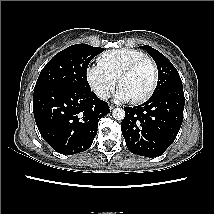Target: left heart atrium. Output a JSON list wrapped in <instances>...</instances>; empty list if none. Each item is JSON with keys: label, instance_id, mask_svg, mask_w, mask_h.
<instances>
[{"label": "left heart atrium", "instance_id": "left-heart-atrium-1", "mask_svg": "<svg viewBox=\"0 0 214 214\" xmlns=\"http://www.w3.org/2000/svg\"><path fill=\"white\" fill-rule=\"evenodd\" d=\"M116 98L120 101H129L131 100L130 96L121 88L116 92Z\"/></svg>", "mask_w": 214, "mask_h": 214}]
</instances>
